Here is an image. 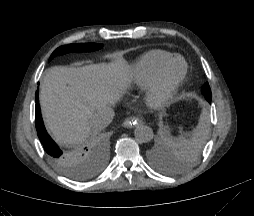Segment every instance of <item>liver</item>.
I'll return each mask as SVG.
<instances>
[{
  "label": "liver",
  "mask_w": 254,
  "mask_h": 216,
  "mask_svg": "<svg viewBox=\"0 0 254 216\" xmlns=\"http://www.w3.org/2000/svg\"><path fill=\"white\" fill-rule=\"evenodd\" d=\"M127 85V68L120 60L50 68L39 97L48 130L60 144L81 143L92 132L95 111L119 101Z\"/></svg>",
  "instance_id": "obj_1"
}]
</instances>
